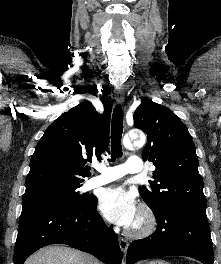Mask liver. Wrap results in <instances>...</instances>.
I'll return each instance as SVG.
<instances>
[{"instance_id":"6515ba94","label":"liver","mask_w":221,"mask_h":264,"mask_svg":"<svg viewBox=\"0 0 221 264\" xmlns=\"http://www.w3.org/2000/svg\"><path fill=\"white\" fill-rule=\"evenodd\" d=\"M24 264H100L93 256L62 246H48L29 257Z\"/></svg>"}]
</instances>
